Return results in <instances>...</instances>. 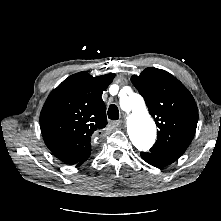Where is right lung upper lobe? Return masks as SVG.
Segmentation results:
<instances>
[{
    "label": "right lung upper lobe",
    "mask_w": 221,
    "mask_h": 221,
    "mask_svg": "<svg viewBox=\"0 0 221 221\" xmlns=\"http://www.w3.org/2000/svg\"><path fill=\"white\" fill-rule=\"evenodd\" d=\"M114 76L79 72L48 96L40 114L41 132L47 147L64 163L78 165L89 158L91 141L107 125L101 96Z\"/></svg>",
    "instance_id": "right-lung-upper-lobe-1"
}]
</instances>
